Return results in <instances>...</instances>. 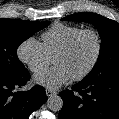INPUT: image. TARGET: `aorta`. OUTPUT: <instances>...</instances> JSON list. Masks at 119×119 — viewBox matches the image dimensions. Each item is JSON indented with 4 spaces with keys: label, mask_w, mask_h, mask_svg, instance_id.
I'll return each instance as SVG.
<instances>
[{
    "label": "aorta",
    "mask_w": 119,
    "mask_h": 119,
    "mask_svg": "<svg viewBox=\"0 0 119 119\" xmlns=\"http://www.w3.org/2000/svg\"><path fill=\"white\" fill-rule=\"evenodd\" d=\"M47 106L52 111H60L63 107V100L58 95L50 96L47 100Z\"/></svg>",
    "instance_id": "762f6f07"
}]
</instances>
